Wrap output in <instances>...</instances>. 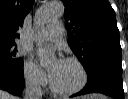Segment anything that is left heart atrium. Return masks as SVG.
<instances>
[{
  "label": "left heart atrium",
  "mask_w": 128,
  "mask_h": 99,
  "mask_svg": "<svg viewBox=\"0 0 128 99\" xmlns=\"http://www.w3.org/2000/svg\"><path fill=\"white\" fill-rule=\"evenodd\" d=\"M61 61H57L56 62V65L50 69V77L52 78L56 72V67H57V64L60 63Z\"/></svg>",
  "instance_id": "1"
}]
</instances>
